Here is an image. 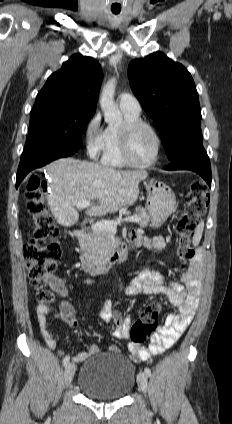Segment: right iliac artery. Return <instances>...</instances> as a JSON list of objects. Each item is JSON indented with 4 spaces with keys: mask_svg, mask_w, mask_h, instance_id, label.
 <instances>
[{
    "mask_svg": "<svg viewBox=\"0 0 232 424\" xmlns=\"http://www.w3.org/2000/svg\"><path fill=\"white\" fill-rule=\"evenodd\" d=\"M69 360H70V356L66 355L65 358L63 359V365L66 366L68 364Z\"/></svg>",
    "mask_w": 232,
    "mask_h": 424,
    "instance_id": "82829eb1",
    "label": "right iliac artery"
}]
</instances>
